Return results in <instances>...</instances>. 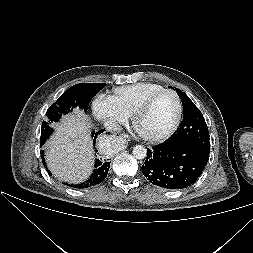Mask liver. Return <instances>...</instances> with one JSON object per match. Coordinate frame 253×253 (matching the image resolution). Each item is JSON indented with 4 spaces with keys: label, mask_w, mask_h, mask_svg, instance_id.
<instances>
[{
    "label": "liver",
    "mask_w": 253,
    "mask_h": 253,
    "mask_svg": "<svg viewBox=\"0 0 253 253\" xmlns=\"http://www.w3.org/2000/svg\"><path fill=\"white\" fill-rule=\"evenodd\" d=\"M88 117L76 111L56 124V133L48 141L46 161L49 169L57 178L80 183L92 171L93 150L90 142Z\"/></svg>",
    "instance_id": "1"
}]
</instances>
